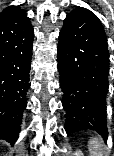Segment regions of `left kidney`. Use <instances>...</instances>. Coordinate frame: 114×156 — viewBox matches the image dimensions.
<instances>
[{
	"label": "left kidney",
	"instance_id": "obj_1",
	"mask_svg": "<svg viewBox=\"0 0 114 156\" xmlns=\"http://www.w3.org/2000/svg\"><path fill=\"white\" fill-rule=\"evenodd\" d=\"M74 155L75 156H83V154L80 150H77Z\"/></svg>",
	"mask_w": 114,
	"mask_h": 156
}]
</instances>
